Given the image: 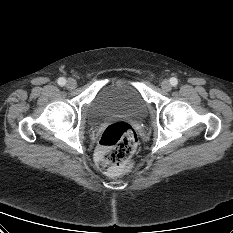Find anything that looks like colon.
Here are the masks:
<instances>
[{"instance_id":"5ec220e1","label":"colon","mask_w":233,"mask_h":233,"mask_svg":"<svg viewBox=\"0 0 233 233\" xmlns=\"http://www.w3.org/2000/svg\"><path fill=\"white\" fill-rule=\"evenodd\" d=\"M138 137L135 129L125 121L110 124L102 133L96 164L109 174L119 172L136 150Z\"/></svg>"}]
</instances>
